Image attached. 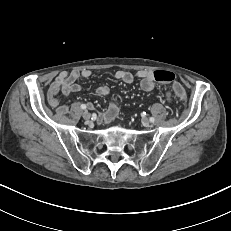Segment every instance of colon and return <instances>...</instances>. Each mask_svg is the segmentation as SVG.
I'll return each mask as SVG.
<instances>
[{
	"label": "colon",
	"mask_w": 231,
	"mask_h": 231,
	"mask_svg": "<svg viewBox=\"0 0 231 231\" xmlns=\"http://www.w3.org/2000/svg\"><path fill=\"white\" fill-rule=\"evenodd\" d=\"M153 78L159 83H171L175 79L174 73L168 70H157L153 72ZM173 93L178 97H184V88L179 83H173L172 86Z\"/></svg>",
	"instance_id": "colon-1"
}]
</instances>
